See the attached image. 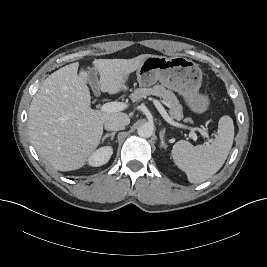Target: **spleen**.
Masks as SVG:
<instances>
[{"label":"spleen","instance_id":"obj_1","mask_svg":"<svg viewBox=\"0 0 267 267\" xmlns=\"http://www.w3.org/2000/svg\"><path fill=\"white\" fill-rule=\"evenodd\" d=\"M234 140V124L230 116L218 122V135L211 144L193 146L180 140L173 146L172 157L190 183H201L212 177L225 163Z\"/></svg>","mask_w":267,"mask_h":267}]
</instances>
